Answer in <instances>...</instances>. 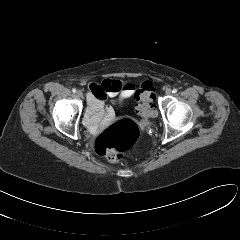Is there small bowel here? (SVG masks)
<instances>
[{
    "label": "small bowel",
    "instance_id": "obj_1",
    "mask_svg": "<svg viewBox=\"0 0 240 240\" xmlns=\"http://www.w3.org/2000/svg\"><path fill=\"white\" fill-rule=\"evenodd\" d=\"M134 85L122 83L119 80L105 79L100 83H91L87 94L88 108L85 112L84 123L92 131L99 126L109 123L114 117V110L106 106L108 97H117L120 101L131 97Z\"/></svg>",
    "mask_w": 240,
    "mask_h": 240
}]
</instances>
